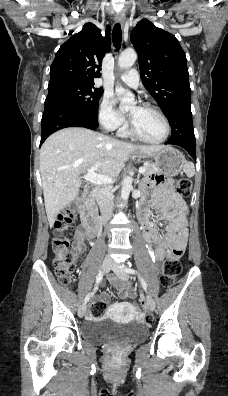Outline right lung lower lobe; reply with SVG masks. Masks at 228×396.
I'll use <instances>...</instances> for the list:
<instances>
[{
  "label": "right lung lower lobe",
  "instance_id": "98d812e1",
  "mask_svg": "<svg viewBox=\"0 0 228 396\" xmlns=\"http://www.w3.org/2000/svg\"><path fill=\"white\" fill-rule=\"evenodd\" d=\"M41 123L40 145L49 135L63 128L85 127L94 130L98 127V116L62 100H49L45 101Z\"/></svg>",
  "mask_w": 228,
  "mask_h": 396
}]
</instances>
